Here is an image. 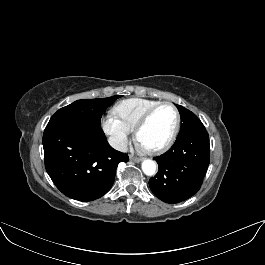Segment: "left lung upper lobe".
Wrapping results in <instances>:
<instances>
[{"mask_svg":"<svg viewBox=\"0 0 265 265\" xmlns=\"http://www.w3.org/2000/svg\"><path fill=\"white\" fill-rule=\"evenodd\" d=\"M176 106L179 110L182 121L181 128L177 137L184 136L199 128L204 127L200 119L194 113L184 108L183 106Z\"/></svg>","mask_w":265,"mask_h":265,"instance_id":"obj_1","label":"left lung upper lobe"}]
</instances>
